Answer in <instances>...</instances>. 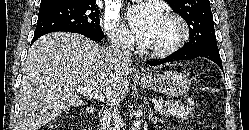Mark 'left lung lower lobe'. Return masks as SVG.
Instances as JSON below:
<instances>
[{"mask_svg": "<svg viewBox=\"0 0 249 130\" xmlns=\"http://www.w3.org/2000/svg\"><path fill=\"white\" fill-rule=\"evenodd\" d=\"M197 57H205L215 62L222 70V61L220 58L219 50L208 48H181L163 60L150 61V66L163 64L166 62L189 60Z\"/></svg>", "mask_w": 249, "mask_h": 130, "instance_id": "obj_1", "label": "left lung lower lobe"}]
</instances>
